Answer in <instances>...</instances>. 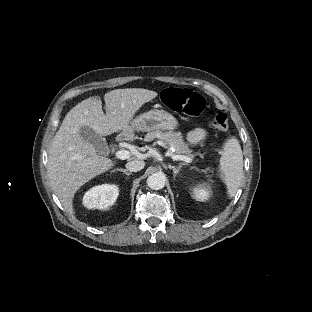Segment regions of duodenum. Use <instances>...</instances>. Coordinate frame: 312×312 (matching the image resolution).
<instances>
[{"label": "duodenum", "mask_w": 312, "mask_h": 312, "mask_svg": "<svg viewBox=\"0 0 312 312\" xmlns=\"http://www.w3.org/2000/svg\"><path fill=\"white\" fill-rule=\"evenodd\" d=\"M128 138V134H122L118 137L119 142H125Z\"/></svg>", "instance_id": "duodenum-1"}]
</instances>
